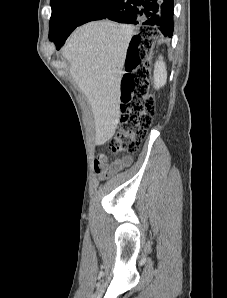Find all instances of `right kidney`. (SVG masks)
Here are the masks:
<instances>
[{
    "instance_id": "ca27d5eb",
    "label": "right kidney",
    "mask_w": 227,
    "mask_h": 298,
    "mask_svg": "<svg viewBox=\"0 0 227 298\" xmlns=\"http://www.w3.org/2000/svg\"><path fill=\"white\" fill-rule=\"evenodd\" d=\"M166 80H167L166 66L162 60V57H160L154 66L155 88L159 89L160 87L164 86L166 84Z\"/></svg>"
}]
</instances>
